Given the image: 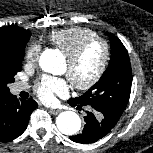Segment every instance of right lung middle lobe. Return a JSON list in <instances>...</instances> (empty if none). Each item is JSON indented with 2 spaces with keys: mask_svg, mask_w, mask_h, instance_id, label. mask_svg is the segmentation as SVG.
Masks as SVG:
<instances>
[{
  "mask_svg": "<svg viewBox=\"0 0 153 153\" xmlns=\"http://www.w3.org/2000/svg\"><path fill=\"white\" fill-rule=\"evenodd\" d=\"M25 47L26 44L0 49V92H10L8 84L15 81V74L22 69Z\"/></svg>",
  "mask_w": 153,
  "mask_h": 153,
  "instance_id": "dd1d6c3e",
  "label": "right lung middle lobe"
}]
</instances>
